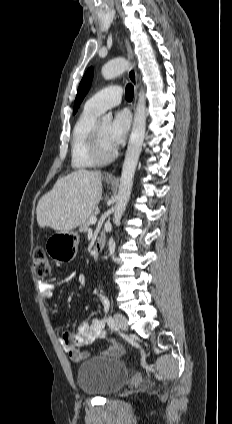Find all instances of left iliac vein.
<instances>
[{
    "label": "left iliac vein",
    "mask_w": 232,
    "mask_h": 424,
    "mask_svg": "<svg viewBox=\"0 0 232 424\" xmlns=\"http://www.w3.org/2000/svg\"><path fill=\"white\" fill-rule=\"evenodd\" d=\"M115 325L122 331H126L128 328L127 319L124 315L117 313L114 316Z\"/></svg>",
    "instance_id": "1"
}]
</instances>
